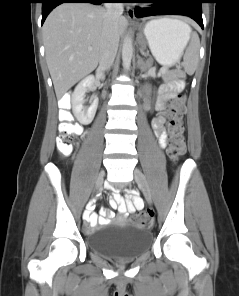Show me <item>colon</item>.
Here are the masks:
<instances>
[{
	"label": "colon",
	"mask_w": 239,
	"mask_h": 296,
	"mask_svg": "<svg viewBox=\"0 0 239 296\" xmlns=\"http://www.w3.org/2000/svg\"><path fill=\"white\" fill-rule=\"evenodd\" d=\"M166 116L169 122V148L168 155L173 162H177L185 152L183 136V118L185 115L184 96L178 94L166 108ZM59 137L57 149L62 155H69L74 147L77 135L80 133V126L73 122L72 115L68 108L63 107L59 112ZM152 218L149 209H141L134 216V221L140 225H147Z\"/></svg>",
	"instance_id": "1"
}]
</instances>
